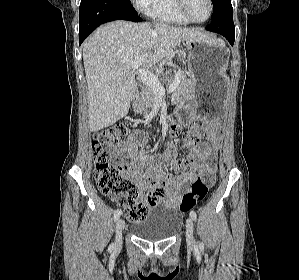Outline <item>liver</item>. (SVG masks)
I'll return each mask as SVG.
<instances>
[{"label": "liver", "instance_id": "obj_1", "mask_svg": "<svg viewBox=\"0 0 299 280\" xmlns=\"http://www.w3.org/2000/svg\"><path fill=\"white\" fill-rule=\"evenodd\" d=\"M206 38L200 31L163 23L117 20L99 27L83 44L90 131L127 115L137 91L135 60L145 56L142 65L149 68L170 58L181 41Z\"/></svg>", "mask_w": 299, "mask_h": 280}]
</instances>
